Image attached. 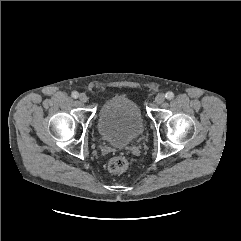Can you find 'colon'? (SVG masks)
Wrapping results in <instances>:
<instances>
[{"mask_svg":"<svg viewBox=\"0 0 241 241\" xmlns=\"http://www.w3.org/2000/svg\"><path fill=\"white\" fill-rule=\"evenodd\" d=\"M128 168V160L122 155L115 156L108 163V170L111 173H121Z\"/></svg>","mask_w":241,"mask_h":241,"instance_id":"1","label":"colon"}]
</instances>
